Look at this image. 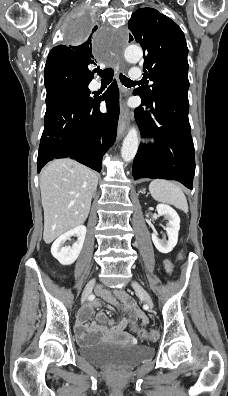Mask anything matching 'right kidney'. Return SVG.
<instances>
[{
	"instance_id": "right-kidney-1",
	"label": "right kidney",
	"mask_w": 228,
	"mask_h": 396,
	"mask_svg": "<svg viewBox=\"0 0 228 396\" xmlns=\"http://www.w3.org/2000/svg\"><path fill=\"white\" fill-rule=\"evenodd\" d=\"M86 231H87L86 227L80 225L58 237L51 247V253L53 257L57 259L59 263L62 265L73 264L77 260L82 250L86 236ZM72 236H76L77 241L72 245V247L64 246V243L67 240H70Z\"/></svg>"
}]
</instances>
